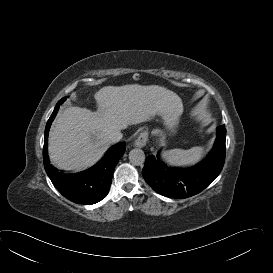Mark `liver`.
Returning a JSON list of instances; mask_svg holds the SVG:
<instances>
[{
	"label": "liver",
	"mask_w": 273,
	"mask_h": 273,
	"mask_svg": "<svg viewBox=\"0 0 273 273\" xmlns=\"http://www.w3.org/2000/svg\"><path fill=\"white\" fill-rule=\"evenodd\" d=\"M95 99L96 112L68 107L60 113L49 135L51 162L63 170H79L95 163L112 141L113 130L150 120L156 114L179 113L181 99L158 85L106 86Z\"/></svg>",
	"instance_id": "6515ba94"
}]
</instances>
